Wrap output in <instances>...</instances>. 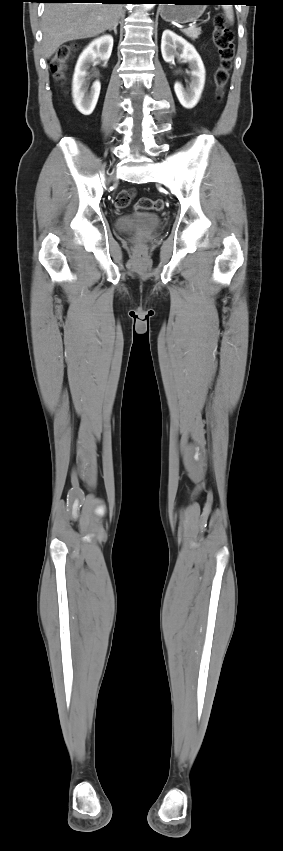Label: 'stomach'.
I'll list each match as a JSON object with an SVG mask.
<instances>
[{
  "instance_id": "0dacf381",
  "label": "stomach",
  "mask_w": 283,
  "mask_h": 851,
  "mask_svg": "<svg viewBox=\"0 0 283 851\" xmlns=\"http://www.w3.org/2000/svg\"><path fill=\"white\" fill-rule=\"evenodd\" d=\"M207 0H169L159 8L160 16L168 22L185 24L196 21L204 12Z\"/></svg>"
}]
</instances>
